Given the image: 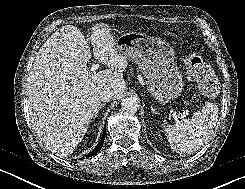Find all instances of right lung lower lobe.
Segmentation results:
<instances>
[{
	"label": "right lung lower lobe",
	"mask_w": 245,
	"mask_h": 189,
	"mask_svg": "<svg viewBox=\"0 0 245 189\" xmlns=\"http://www.w3.org/2000/svg\"><path fill=\"white\" fill-rule=\"evenodd\" d=\"M105 129H104V133L102 135V138L100 140V142L97 144V146L92 150V152H90L88 155H86V158H89L93 155H95L103 146L104 140H105ZM84 159V158H83Z\"/></svg>",
	"instance_id": "right-lung-lower-lobe-1"
}]
</instances>
